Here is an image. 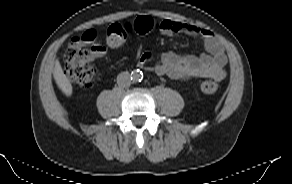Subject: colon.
<instances>
[{
    "label": "colon",
    "instance_id": "colon-1",
    "mask_svg": "<svg viewBox=\"0 0 292 184\" xmlns=\"http://www.w3.org/2000/svg\"><path fill=\"white\" fill-rule=\"evenodd\" d=\"M154 30L155 23L148 17H141L133 25L114 23L107 30L106 44L109 47H119L126 41L130 31L144 35ZM104 49L97 42V34L93 30L74 37L64 53L66 76L80 87H93L96 83V72L90 61L102 54ZM218 88L219 84L212 80H205L200 84V90L206 94L214 93Z\"/></svg>",
    "mask_w": 292,
    "mask_h": 184
}]
</instances>
